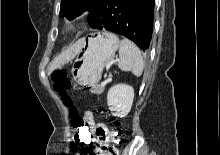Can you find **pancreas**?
Returning <instances> with one entry per match:
<instances>
[{
    "label": "pancreas",
    "mask_w": 220,
    "mask_h": 155,
    "mask_svg": "<svg viewBox=\"0 0 220 155\" xmlns=\"http://www.w3.org/2000/svg\"><path fill=\"white\" fill-rule=\"evenodd\" d=\"M103 91H104V87L98 86V87L94 90V93H96V94H102Z\"/></svg>",
    "instance_id": "pancreas-1"
}]
</instances>
